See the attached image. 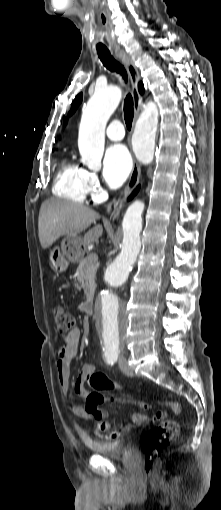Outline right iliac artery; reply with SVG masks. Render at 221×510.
<instances>
[{
  "label": "right iliac artery",
  "instance_id": "obj_1",
  "mask_svg": "<svg viewBox=\"0 0 221 510\" xmlns=\"http://www.w3.org/2000/svg\"><path fill=\"white\" fill-rule=\"evenodd\" d=\"M118 358V352L114 350H108L105 352V359L108 364L113 365Z\"/></svg>",
  "mask_w": 221,
  "mask_h": 510
}]
</instances>
